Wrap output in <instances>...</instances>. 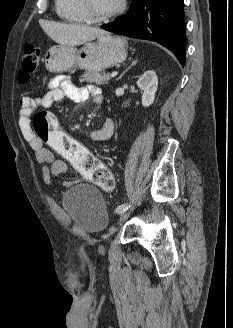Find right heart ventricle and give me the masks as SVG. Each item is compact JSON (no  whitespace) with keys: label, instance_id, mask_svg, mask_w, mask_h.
<instances>
[{"label":"right heart ventricle","instance_id":"e07e8e85","mask_svg":"<svg viewBox=\"0 0 233 328\" xmlns=\"http://www.w3.org/2000/svg\"><path fill=\"white\" fill-rule=\"evenodd\" d=\"M55 7L58 16L67 22H86L78 0H55Z\"/></svg>","mask_w":233,"mask_h":328}]
</instances>
